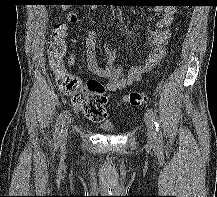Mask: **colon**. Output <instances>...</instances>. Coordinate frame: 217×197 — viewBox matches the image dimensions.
I'll return each instance as SVG.
<instances>
[{
	"label": "colon",
	"instance_id": "5ec220e1",
	"mask_svg": "<svg viewBox=\"0 0 217 197\" xmlns=\"http://www.w3.org/2000/svg\"><path fill=\"white\" fill-rule=\"evenodd\" d=\"M67 28L64 23H56L48 42L49 63L53 69L57 85L70 105L83 115L96 122L103 121L107 116L105 86L96 80H89L85 85L65 68L67 51ZM149 100V96L141 92H131L124 101L131 106H141Z\"/></svg>",
	"mask_w": 217,
	"mask_h": 197
}]
</instances>
